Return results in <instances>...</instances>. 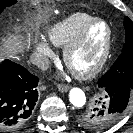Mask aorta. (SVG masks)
<instances>
[{"mask_svg": "<svg viewBox=\"0 0 133 133\" xmlns=\"http://www.w3.org/2000/svg\"><path fill=\"white\" fill-rule=\"evenodd\" d=\"M69 100L73 106L81 108L86 103V96L80 88H72L69 92Z\"/></svg>", "mask_w": 133, "mask_h": 133, "instance_id": "1", "label": "aorta"}]
</instances>
